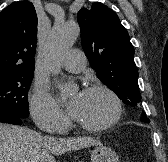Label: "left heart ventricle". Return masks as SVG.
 <instances>
[{"label": "left heart ventricle", "mask_w": 168, "mask_h": 162, "mask_svg": "<svg viewBox=\"0 0 168 162\" xmlns=\"http://www.w3.org/2000/svg\"><path fill=\"white\" fill-rule=\"evenodd\" d=\"M113 110V102L106 93L84 92L76 118L83 123L97 125L107 121Z\"/></svg>", "instance_id": "b2bd125f"}]
</instances>
